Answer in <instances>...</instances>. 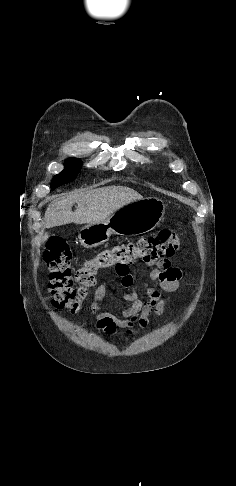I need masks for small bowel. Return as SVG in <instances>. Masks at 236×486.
<instances>
[{
  "mask_svg": "<svg viewBox=\"0 0 236 486\" xmlns=\"http://www.w3.org/2000/svg\"><path fill=\"white\" fill-rule=\"evenodd\" d=\"M148 264L153 267L149 277L158 284L160 289L173 292L179 288L181 271L173 267L168 259H161ZM116 273L121 278V285L128 290L120 293V298L127 302L128 306L121 309L118 314L101 312L103 300L109 293L108 284L102 282L95 290L94 301L90 311L96 315L97 328L107 332H114L116 328H123L128 334H133L132 328L134 326L146 328L149 325L150 315L162 316L166 300L156 287H149L147 289V299H140L134 288L133 275L129 266L116 269Z\"/></svg>",
  "mask_w": 236,
  "mask_h": 486,
  "instance_id": "c3829d8e",
  "label": "small bowel"
}]
</instances>
